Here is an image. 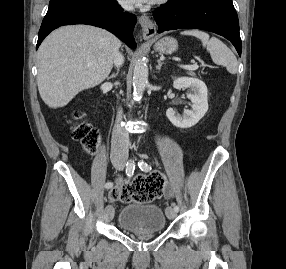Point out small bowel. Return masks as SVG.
Segmentation results:
<instances>
[{"mask_svg":"<svg viewBox=\"0 0 286 269\" xmlns=\"http://www.w3.org/2000/svg\"><path fill=\"white\" fill-rule=\"evenodd\" d=\"M173 194H174V193H173L172 188H171L170 186H166L165 192H164L165 198L170 199V198L173 197Z\"/></svg>","mask_w":286,"mask_h":269,"instance_id":"obj_1","label":"small bowel"}]
</instances>
